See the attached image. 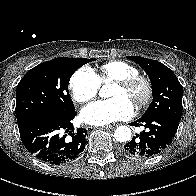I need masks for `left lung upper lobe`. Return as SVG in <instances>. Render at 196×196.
I'll list each match as a JSON object with an SVG mask.
<instances>
[{
    "mask_svg": "<svg viewBox=\"0 0 196 196\" xmlns=\"http://www.w3.org/2000/svg\"><path fill=\"white\" fill-rule=\"evenodd\" d=\"M148 74L153 101L143 116L163 115L179 123L182 115L183 89L177 77L164 64L139 56H127Z\"/></svg>",
    "mask_w": 196,
    "mask_h": 196,
    "instance_id": "left-lung-upper-lobe-1",
    "label": "left lung upper lobe"
}]
</instances>
